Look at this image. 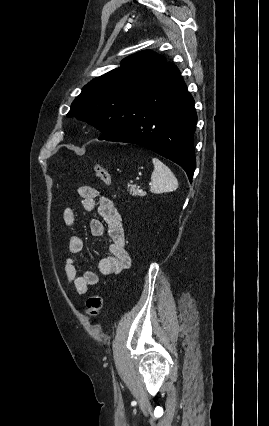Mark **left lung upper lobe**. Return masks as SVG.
<instances>
[{"label":"left lung upper lobe","mask_w":269,"mask_h":426,"mask_svg":"<svg viewBox=\"0 0 269 426\" xmlns=\"http://www.w3.org/2000/svg\"><path fill=\"white\" fill-rule=\"evenodd\" d=\"M164 57L144 50L123 60V65L93 79L73 101L67 117L76 116L111 137L135 93L147 87L166 65Z\"/></svg>","instance_id":"1"}]
</instances>
